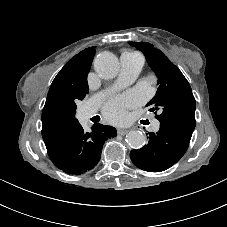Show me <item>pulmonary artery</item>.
Returning <instances> with one entry per match:
<instances>
[{
    "instance_id": "pulmonary-artery-1",
    "label": "pulmonary artery",
    "mask_w": 227,
    "mask_h": 227,
    "mask_svg": "<svg viewBox=\"0 0 227 227\" xmlns=\"http://www.w3.org/2000/svg\"><path fill=\"white\" fill-rule=\"evenodd\" d=\"M143 66V59L137 56H130V55H122L121 56V71L118 79L116 80L115 84L113 85V89H120L129 84H131L139 75ZM102 95H98L94 101V104H97V100ZM94 111L93 106L88 107L84 115L85 117L92 116ZM160 123L158 120H154L152 123L153 130H158Z\"/></svg>"
}]
</instances>
